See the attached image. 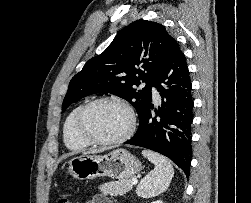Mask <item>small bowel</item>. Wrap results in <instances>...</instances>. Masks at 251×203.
<instances>
[{
    "label": "small bowel",
    "instance_id": "small-bowel-1",
    "mask_svg": "<svg viewBox=\"0 0 251 203\" xmlns=\"http://www.w3.org/2000/svg\"><path fill=\"white\" fill-rule=\"evenodd\" d=\"M86 203H112V201L103 195H95L89 198Z\"/></svg>",
    "mask_w": 251,
    "mask_h": 203
}]
</instances>
